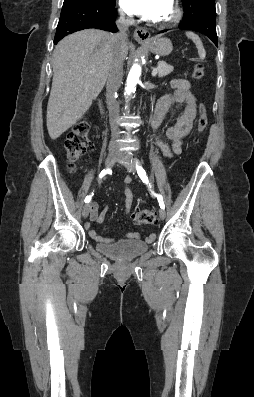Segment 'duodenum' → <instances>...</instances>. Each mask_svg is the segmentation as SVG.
Returning a JSON list of instances; mask_svg holds the SVG:
<instances>
[{
	"mask_svg": "<svg viewBox=\"0 0 254 397\" xmlns=\"http://www.w3.org/2000/svg\"><path fill=\"white\" fill-rule=\"evenodd\" d=\"M99 110H100L101 115H104V106H103L102 101H99Z\"/></svg>",
	"mask_w": 254,
	"mask_h": 397,
	"instance_id": "1",
	"label": "duodenum"
}]
</instances>
